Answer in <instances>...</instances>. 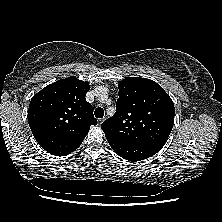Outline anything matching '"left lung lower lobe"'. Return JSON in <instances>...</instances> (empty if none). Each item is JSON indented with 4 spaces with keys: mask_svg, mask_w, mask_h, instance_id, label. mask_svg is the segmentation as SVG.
I'll return each mask as SVG.
<instances>
[{
    "mask_svg": "<svg viewBox=\"0 0 222 222\" xmlns=\"http://www.w3.org/2000/svg\"><path fill=\"white\" fill-rule=\"evenodd\" d=\"M106 139L117 155L133 162L147 159L161 149L151 145L125 144L114 139Z\"/></svg>",
    "mask_w": 222,
    "mask_h": 222,
    "instance_id": "0a47b994",
    "label": "left lung lower lobe"
}]
</instances>
